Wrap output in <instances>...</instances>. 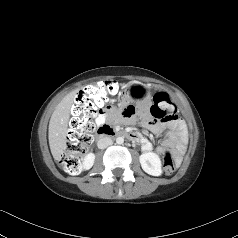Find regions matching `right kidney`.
Returning a JSON list of instances; mask_svg holds the SVG:
<instances>
[{"mask_svg": "<svg viewBox=\"0 0 238 238\" xmlns=\"http://www.w3.org/2000/svg\"><path fill=\"white\" fill-rule=\"evenodd\" d=\"M94 160H95V154L94 153H88L82 162V167L84 170H89L93 164H94Z\"/></svg>", "mask_w": 238, "mask_h": 238, "instance_id": "obj_1", "label": "right kidney"}]
</instances>
